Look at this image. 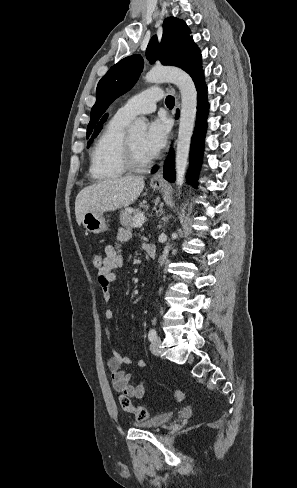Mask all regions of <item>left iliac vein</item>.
Returning a JSON list of instances; mask_svg holds the SVG:
<instances>
[{"mask_svg":"<svg viewBox=\"0 0 297 488\" xmlns=\"http://www.w3.org/2000/svg\"><path fill=\"white\" fill-rule=\"evenodd\" d=\"M160 345H161V338L157 336L150 345L151 352L156 356L159 355Z\"/></svg>","mask_w":297,"mask_h":488,"instance_id":"1","label":"left iliac vein"}]
</instances>
